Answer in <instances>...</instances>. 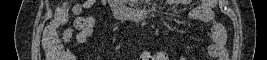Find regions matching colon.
I'll list each match as a JSON object with an SVG mask.
<instances>
[{"instance_id": "1", "label": "colon", "mask_w": 267, "mask_h": 60, "mask_svg": "<svg viewBox=\"0 0 267 60\" xmlns=\"http://www.w3.org/2000/svg\"><path fill=\"white\" fill-rule=\"evenodd\" d=\"M69 19L67 8H63L54 20L58 26L65 24ZM81 22H76L75 27L80 28ZM42 50L48 60L70 59L67 50L61 45L59 35L56 30L47 31L42 39Z\"/></svg>"}]
</instances>
